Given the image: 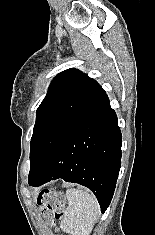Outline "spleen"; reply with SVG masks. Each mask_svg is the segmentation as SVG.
Here are the masks:
<instances>
[{
    "mask_svg": "<svg viewBox=\"0 0 155 235\" xmlns=\"http://www.w3.org/2000/svg\"><path fill=\"white\" fill-rule=\"evenodd\" d=\"M66 196L68 207L61 228L73 235H90L100 213L96 197L85 190L72 188L67 190Z\"/></svg>",
    "mask_w": 155,
    "mask_h": 235,
    "instance_id": "obj_1",
    "label": "spleen"
}]
</instances>
